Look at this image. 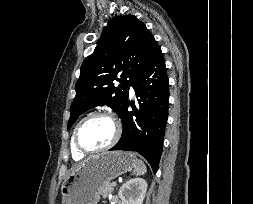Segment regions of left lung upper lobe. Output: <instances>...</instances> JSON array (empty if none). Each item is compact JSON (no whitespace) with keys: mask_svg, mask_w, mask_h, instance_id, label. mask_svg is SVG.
<instances>
[{"mask_svg":"<svg viewBox=\"0 0 253 204\" xmlns=\"http://www.w3.org/2000/svg\"><path fill=\"white\" fill-rule=\"evenodd\" d=\"M157 42L134 15L117 16L104 28L94 50L82 63L75 85L68 130L89 108L107 105L120 115L129 86L144 67ZM120 75V79L117 78ZM120 82L115 87L113 81Z\"/></svg>","mask_w":253,"mask_h":204,"instance_id":"left-lung-upper-lobe-1","label":"left lung upper lobe"}]
</instances>
